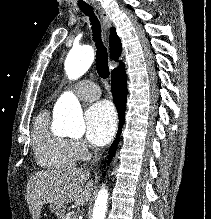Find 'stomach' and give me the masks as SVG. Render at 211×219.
I'll return each mask as SVG.
<instances>
[{"label":"stomach","mask_w":211,"mask_h":219,"mask_svg":"<svg viewBox=\"0 0 211 219\" xmlns=\"http://www.w3.org/2000/svg\"><path fill=\"white\" fill-rule=\"evenodd\" d=\"M50 210L53 212L56 216L61 217L64 215L65 209L63 206H59L56 204H50Z\"/></svg>","instance_id":"1"}]
</instances>
